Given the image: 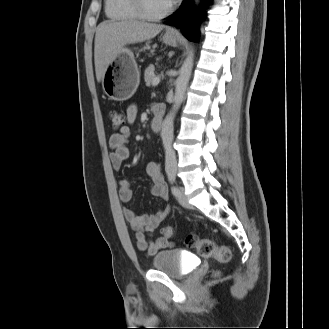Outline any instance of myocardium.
Here are the masks:
<instances>
[{"label": "myocardium", "mask_w": 329, "mask_h": 329, "mask_svg": "<svg viewBox=\"0 0 329 329\" xmlns=\"http://www.w3.org/2000/svg\"><path fill=\"white\" fill-rule=\"evenodd\" d=\"M133 5L139 14V17L146 21H157L163 19L167 15H169L173 9L172 5L166 8L164 11L154 14L147 10L144 0H132Z\"/></svg>", "instance_id": "obj_1"}]
</instances>
